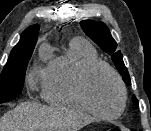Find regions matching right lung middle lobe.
Instances as JSON below:
<instances>
[{
	"label": "right lung middle lobe",
	"instance_id": "1",
	"mask_svg": "<svg viewBox=\"0 0 151 131\" xmlns=\"http://www.w3.org/2000/svg\"><path fill=\"white\" fill-rule=\"evenodd\" d=\"M34 47L32 44L12 49L0 75V103L11 101L21 93Z\"/></svg>",
	"mask_w": 151,
	"mask_h": 131
}]
</instances>
